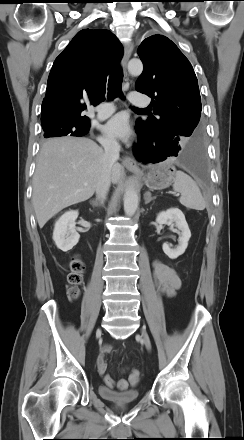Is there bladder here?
<instances>
[{
    "mask_svg": "<svg viewBox=\"0 0 244 440\" xmlns=\"http://www.w3.org/2000/svg\"><path fill=\"white\" fill-rule=\"evenodd\" d=\"M98 393L103 399L115 404L133 403L136 402L140 396L137 389L115 391L104 385L98 387Z\"/></svg>",
    "mask_w": 244,
    "mask_h": 440,
    "instance_id": "31cf9c89",
    "label": "bladder"
}]
</instances>
